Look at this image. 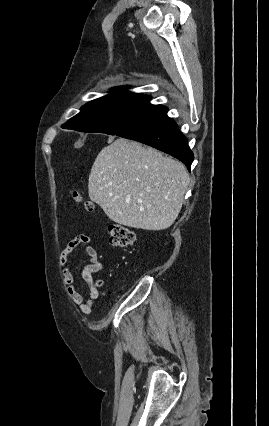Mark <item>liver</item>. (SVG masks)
I'll use <instances>...</instances> for the list:
<instances>
[{
    "label": "liver",
    "instance_id": "6515ba94",
    "mask_svg": "<svg viewBox=\"0 0 269 426\" xmlns=\"http://www.w3.org/2000/svg\"><path fill=\"white\" fill-rule=\"evenodd\" d=\"M189 182L181 162L139 142L118 138L96 157L88 192L115 223L159 231L176 220Z\"/></svg>",
    "mask_w": 269,
    "mask_h": 426
}]
</instances>
